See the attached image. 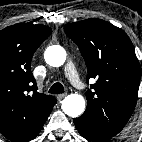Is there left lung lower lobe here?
<instances>
[{"instance_id":"left-lung-lower-lobe-1","label":"left lung lower lobe","mask_w":142,"mask_h":142,"mask_svg":"<svg viewBox=\"0 0 142 142\" xmlns=\"http://www.w3.org/2000/svg\"><path fill=\"white\" fill-rule=\"evenodd\" d=\"M74 123L81 136L93 142H105L117 134L100 128L92 119L85 115L75 118Z\"/></svg>"}]
</instances>
